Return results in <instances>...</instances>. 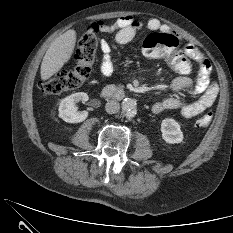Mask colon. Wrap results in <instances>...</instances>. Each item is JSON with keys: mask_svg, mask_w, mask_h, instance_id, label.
Wrapping results in <instances>:
<instances>
[{"mask_svg": "<svg viewBox=\"0 0 233 233\" xmlns=\"http://www.w3.org/2000/svg\"><path fill=\"white\" fill-rule=\"evenodd\" d=\"M103 26L102 22H98L85 30L79 41L73 69L58 72L43 82L42 89L45 93L60 94L73 91L89 80L98 45L97 34ZM143 51L147 57L164 59L168 66L178 74L186 75L192 70L191 59L179 46L177 36L172 33L149 34L143 42ZM212 118L213 113L208 111L196 123L201 128L207 127Z\"/></svg>", "mask_w": 233, "mask_h": 233, "instance_id": "colon-1", "label": "colon"}]
</instances>
